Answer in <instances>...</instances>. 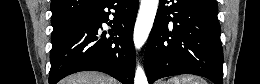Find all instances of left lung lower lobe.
Segmentation results:
<instances>
[{
  "instance_id": "obj_1",
  "label": "left lung lower lobe",
  "mask_w": 260,
  "mask_h": 84,
  "mask_svg": "<svg viewBox=\"0 0 260 84\" xmlns=\"http://www.w3.org/2000/svg\"><path fill=\"white\" fill-rule=\"evenodd\" d=\"M216 0H160L146 52L150 84L195 74L223 84V50Z\"/></svg>"
}]
</instances>
